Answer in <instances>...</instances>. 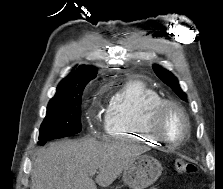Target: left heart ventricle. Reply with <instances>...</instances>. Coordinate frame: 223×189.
<instances>
[{"mask_svg":"<svg viewBox=\"0 0 223 189\" xmlns=\"http://www.w3.org/2000/svg\"><path fill=\"white\" fill-rule=\"evenodd\" d=\"M161 132L170 142L178 141L184 134V122L175 109H168L161 120Z\"/></svg>","mask_w":223,"mask_h":189,"instance_id":"obj_1","label":"left heart ventricle"}]
</instances>
